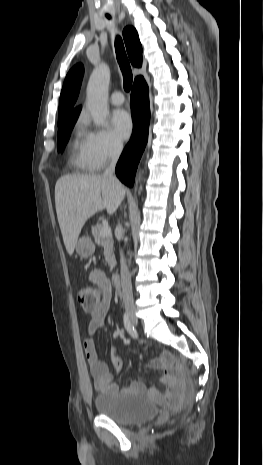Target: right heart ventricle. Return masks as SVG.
<instances>
[{
  "mask_svg": "<svg viewBox=\"0 0 263 465\" xmlns=\"http://www.w3.org/2000/svg\"><path fill=\"white\" fill-rule=\"evenodd\" d=\"M70 162L80 170L92 171L95 170L86 153L85 135L77 129L71 142Z\"/></svg>",
  "mask_w": 263,
  "mask_h": 465,
  "instance_id": "e07e8e85",
  "label": "right heart ventricle"
}]
</instances>
